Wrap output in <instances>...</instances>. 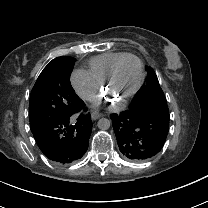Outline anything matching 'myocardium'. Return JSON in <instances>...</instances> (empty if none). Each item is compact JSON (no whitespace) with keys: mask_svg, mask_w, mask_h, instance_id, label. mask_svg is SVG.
Returning <instances> with one entry per match:
<instances>
[{"mask_svg":"<svg viewBox=\"0 0 208 208\" xmlns=\"http://www.w3.org/2000/svg\"><path fill=\"white\" fill-rule=\"evenodd\" d=\"M127 58H132L134 60L137 61L138 65H139V69H140V78L139 81L136 85V87L126 96H124L123 98L120 99H115L116 102L119 103V105H124L126 104L131 98H133L142 88L144 81H145V68H144V64L142 62V60L134 55V54H125L123 57H121L120 59H118L111 67L110 71L108 72L107 76L105 77V79L101 82V90L103 94H108V86L110 85V83L112 82L115 72L118 68V66L120 65V63L127 59Z\"/></svg>","mask_w":208,"mask_h":208,"instance_id":"myocardium-1","label":"myocardium"}]
</instances>
